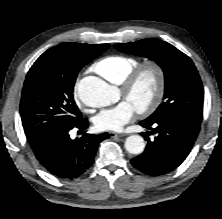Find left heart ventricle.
Returning <instances> with one entry per match:
<instances>
[{"instance_id":"1","label":"left heart ventricle","mask_w":222,"mask_h":219,"mask_svg":"<svg viewBox=\"0 0 222 219\" xmlns=\"http://www.w3.org/2000/svg\"><path fill=\"white\" fill-rule=\"evenodd\" d=\"M155 80L151 72H144L136 82L130 95L125 98L134 108L146 105L153 96Z\"/></svg>"}]
</instances>
